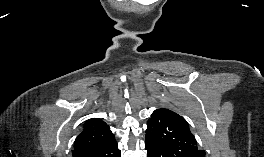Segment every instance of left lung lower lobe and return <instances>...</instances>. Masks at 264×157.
I'll use <instances>...</instances> for the list:
<instances>
[{
	"instance_id": "left-lung-lower-lobe-1",
	"label": "left lung lower lobe",
	"mask_w": 264,
	"mask_h": 157,
	"mask_svg": "<svg viewBox=\"0 0 264 157\" xmlns=\"http://www.w3.org/2000/svg\"><path fill=\"white\" fill-rule=\"evenodd\" d=\"M145 149L148 152L147 157H165L163 149L153 143L145 142Z\"/></svg>"
}]
</instances>
